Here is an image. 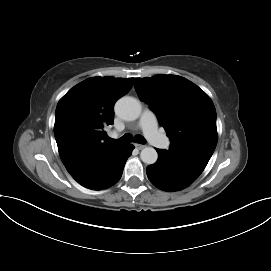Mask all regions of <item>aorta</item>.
Masks as SVG:
<instances>
[{
	"label": "aorta",
	"instance_id": "obj_1",
	"mask_svg": "<svg viewBox=\"0 0 271 271\" xmlns=\"http://www.w3.org/2000/svg\"><path fill=\"white\" fill-rule=\"evenodd\" d=\"M141 110L142 107L140 102L129 96L120 98L115 104L116 114L120 118L128 121L139 118ZM140 158L146 164H154L157 161L158 154L154 148L145 147L140 153Z\"/></svg>",
	"mask_w": 271,
	"mask_h": 271
}]
</instances>
